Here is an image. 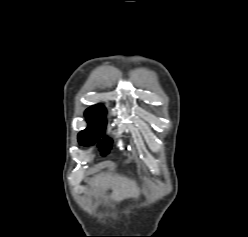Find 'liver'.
Segmentation results:
<instances>
[{"label": "liver", "mask_w": 248, "mask_h": 237, "mask_svg": "<svg viewBox=\"0 0 248 237\" xmlns=\"http://www.w3.org/2000/svg\"><path fill=\"white\" fill-rule=\"evenodd\" d=\"M90 185L95 191H104L109 188L112 189L114 200L116 201L138 197L139 195V189L136 183L119 174H100L92 179Z\"/></svg>", "instance_id": "liver-1"}]
</instances>
